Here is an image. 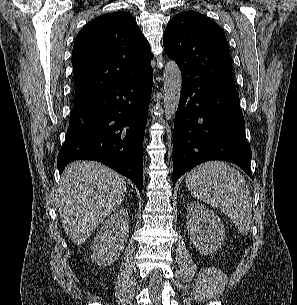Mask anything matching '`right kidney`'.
Listing matches in <instances>:
<instances>
[{
	"label": "right kidney",
	"mask_w": 297,
	"mask_h": 305,
	"mask_svg": "<svg viewBox=\"0 0 297 305\" xmlns=\"http://www.w3.org/2000/svg\"><path fill=\"white\" fill-rule=\"evenodd\" d=\"M128 235V211L119 208L104 222L97 233L92 247V261L102 266L112 264L123 251Z\"/></svg>",
	"instance_id": "obj_1"
}]
</instances>
